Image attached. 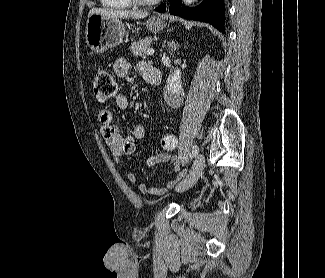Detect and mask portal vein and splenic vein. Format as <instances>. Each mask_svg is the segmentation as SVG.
Wrapping results in <instances>:
<instances>
[{"mask_svg": "<svg viewBox=\"0 0 325 278\" xmlns=\"http://www.w3.org/2000/svg\"><path fill=\"white\" fill-rule=\"evenodd\" d=\"M154 54V49L150 48L147 50V55H153Z\"/></svg>", "mask_w": 325, "mask_h": 278, "instance_id": "1", "label": "portal vein and splenic vein"}]
</instances>
